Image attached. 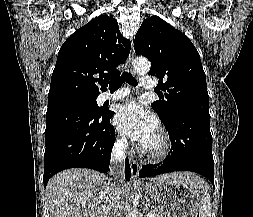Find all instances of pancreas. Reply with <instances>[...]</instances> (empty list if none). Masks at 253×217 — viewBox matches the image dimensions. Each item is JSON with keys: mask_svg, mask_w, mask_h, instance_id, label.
I'll return each instance as SVG.
<instances>
[{"mask_svg": "<svg viewBox=\"0 0 253 217\" xmlns=\"http://www.w3.org/2000/svg\"><path fill=\"white\" fill-rule=\"evenodd\" d=\"M154 212H155V217H165L161 209H155Z\"/></svg>", "mask_w": 253, "mask_h": 217, "instance_id": "cf45deb5", "label": "pancreas"}]
</instances>
